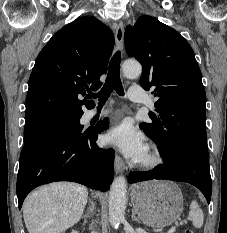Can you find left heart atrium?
Wrapping results in <instances>:
<instances>
[{
  "label": "left heart atrium",
  "mask_w": 227,
  "mask_h": 233,
  "mask_svg": "<svg viewBox=\"0 0 227 233\" xmlns=\"http://www.w3.org/2000/svg\"><path fill=\"white\" fill-rule=\"evenodd\" d=\"M105 141L135 161L140 160L147 150L143 134L129 120L112 126L105 135Z\"/></svg>",
  "instance_id": "obj_1"
}]
</instances>
